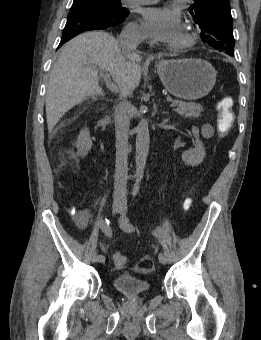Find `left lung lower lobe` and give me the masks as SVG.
Returning a JSON list of instances; mask_svg holds the SVG:
<instances>
[{
    "instance_id": "1",
    "label": "left lung lower lobe",
    "mask_w": 261,
    "mask_h": 340,
    "mask_svg": "<svg viewBox=\"0 0 261 340\" xmlns=\"http://www.w3.org/2000/svg\"><path fill=\"white\" fill-rule=\"evenodd\" d=\"M227 54L230 55V56H233V55H234V53H228V52H227Z\"/></svg>"
}]
</instances>
